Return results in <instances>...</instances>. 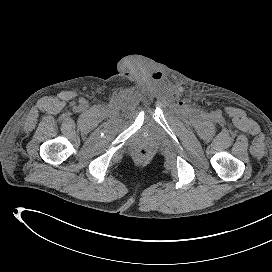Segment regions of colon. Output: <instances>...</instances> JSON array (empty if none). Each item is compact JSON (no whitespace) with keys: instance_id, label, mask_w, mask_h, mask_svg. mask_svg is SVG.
Returning <instances> with one entry per match:
<instances>
[{"instance_id":"obj_1","label":"colon","mask_w":272,"mask_h":272,"mask_svg":"<svg viewBox=\"0 0 272 272\" xmlns=\"http://www.w3.org/2000/svg\"><path fill=\"white\" fill-rule=\"evenodd\" d=\"M146 154H147V152H146L145 149H141V150L139 151V155H140L141 157H145Z\"/></svg>"}]
</instances>
